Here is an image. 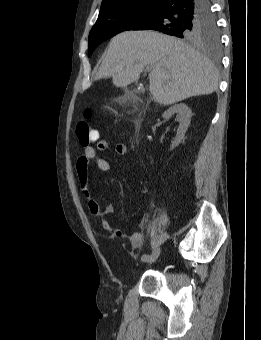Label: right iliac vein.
<instances>
[{"instance_id":"obj_1","label":"right iliac vein","mask_w":261,"mask_h":340,"mask_svg":"<svg viewBox=\"0 0 261 340\" xmlns=\"http://www.w3.org/2000/svg\"><path fill=\"white\" fill-rule=\"evenodd\" d=\"M162 252V248L160 246L156 247L152 253L150 254V258L147 262V264H152L154 262L157 261V259L159 258V256L161 255Z\"/></svg>"}]
</instances>
